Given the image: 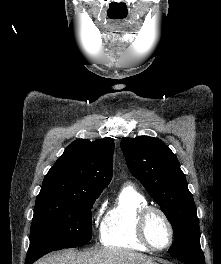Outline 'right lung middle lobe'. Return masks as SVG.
<instances>
[{"label":"right lung middle lobe","instance_id":"1","mask_svg":"<svg viewBox=\"0 0 221 264\" xmlns=\"http://www.w3.org/2000/svg\"><path fill=\"white\" fill-rule=\"evenodd\" d=\"M99 195H38L26 258L89 242L91 208Z\"/></svg>","mask_w":221,"mask_h":264}]
</instances>
